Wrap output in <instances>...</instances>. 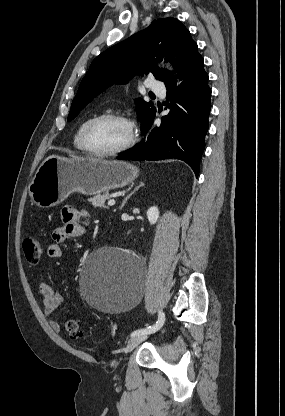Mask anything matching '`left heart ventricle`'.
Returning a JSON list of instances; mask_svg holds the SVG:
<instances>
[{
    "mask_svg": "<svg viewBox=\"0 0 285 416\" xmlns=\"http://www.w3.org/2000/svg\"><path fill=\"white\" fill-rule=\"evenodd\" d=\"M90 146L100 151H110L121 147L127 139V130L123 124L113 119H101L88 129Z\"/></svg>",
    "mask_w": 285,
    "mask_h": 416,
    "instance_id": "1",
    "label": "left heart ventricle"
}]
</instances>
